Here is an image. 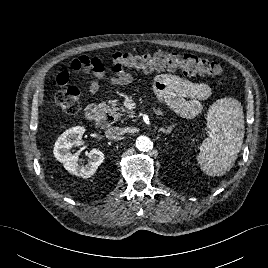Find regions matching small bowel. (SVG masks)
<instances>
[{
	"label": "small bowel",
	"instance_id": "c3829d8e",
	"mask_svg": "<svg viewBox=\"0 0 268 268\" xmlns=\"http://www.w3.org/2000/svg\"><path fill=\"white\" fill-rule=\"evenodd\" d=\"M67 67L82 71L89 77L88 92L91 95L99 92L101 81H107L112 86H127L133 81L132 75L126 71L108 76L104 63L97 57L81 56L68 62ZM61 79L66 80V77ZM153 90L175 113L187 118L199 115L202 101L212 96V89L207 83L193 82L170 73L156 75Z\"/></svg>",
	"mask_w": 268,
	"mask_h": 268
}]
</instances>
